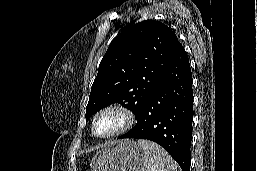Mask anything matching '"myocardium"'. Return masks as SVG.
<instances>
[{
	"mask_svg": "<svg viewBox=\"0 0 257 171\" xmlns=\"http://www.w3.org/2000/svg\"><path fill=\"white\" fill-rule=\"evenodd\" d=\"M108 112H116L121 115L122 117V124L119 128H117L115 131L105 134V135H98L95 132L94 126L97 121V119ZM136 121V115L135 113L126 105L119 104V103H113L104 106L103 108L99 109L93 116L91 120V132L92 134L100 139H108V138H114L117 137L125 132H127L129 129L132 128V126L135 124Z\"/></svg>",
	"mask_w": 257,
	"mask_h": 171,
	"instance_id": "obj_1",
	"label": "myocardium"
}]
</instances>
